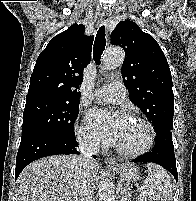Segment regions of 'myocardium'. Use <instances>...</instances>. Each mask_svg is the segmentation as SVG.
Masks as SVG:
<instances>
[{
  "mask_svg": "<svg viewBox=\"0 0 196 201\" xmlns=\"http://www.w3.org/2000/svg\"><path fill=\"white\" fill-rule=\"evenodd\" d=\"M135 121L144 127L146 131V140L143 146L135 151H125L115 145L114 148L116 152L124 158H137L146 154L152 148L155 141V133L152 124L148 120L140 117L136 118Z\"/></svg>",
  "mask_w": 196,
  "mask_h": 201,
  "instance_id": "1",
  "label": "myocardium"
}]
</instances>
